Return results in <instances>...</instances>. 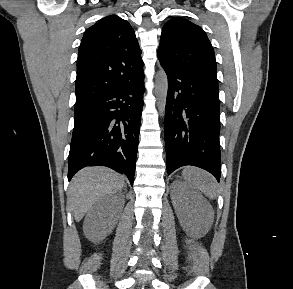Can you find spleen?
<instances>
[{
  "mask_svg": "<svg viewBox=\"0 0 293 289\" xmlns=\"http://www.w3.org/2000/svg\"><path fill=\"white\" fill-rule=\"evenodd\" d=\"M182 176L209 199L213 200L218 196L217 182L210 173L199 168L186 167L182 171Z\"/></svg>",
  "mask_w": 293,
  "mask_h": 289,
  "instance_id": "obj_1",
  "label": "spleen"
}]
</instances>
